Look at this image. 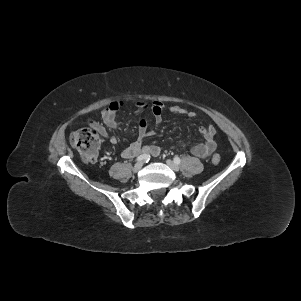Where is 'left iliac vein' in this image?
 <instances>
[{
    "mask_svg": "<svg viewBox=\"0 0 301 301\" xmlns=\"http://www.w3.org/2000/svg\"><path fill=\"white\" fill-rule=\"evenodd\" d=\"M166 164L174 171L179 170L178 165L173 160H170V159L166 160Z\"/></svg>",
    "mask_w": 301,
    "mask_h": 301,
    "instance_id": "left-iliac-vein-1",
    "label": "left iliac vein"
}]
</instances>
